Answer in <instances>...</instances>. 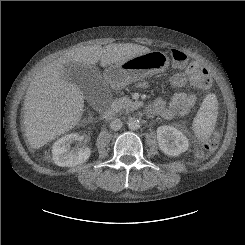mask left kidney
Here are the masks:
<instances>
[{"instance_id":"obj_1","label":"left kidney","mask_w":245,"mask_h":245,"mask_svg":"<svg viewBox=\"0 0 245 245\" xmlns=\"http://www.w3.org/2000/svg\"><path fill=\"white\" fill-rule=\"evenodd\" d=\"M156 133L160 150L168 156H179L189 148L187 137L173 126H160Z\"/></svg>"}]
</instances>
